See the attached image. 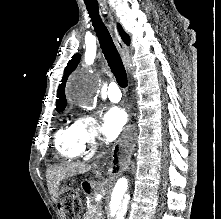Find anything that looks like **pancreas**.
<instances>
[{"instance_id": "cf45deb5", "label": "pancreas", "mask_w": 221, "mask_h": 219, "mask_svg": "<svg viewBox=\"0 0 221 219\" xmlns=\"http://www.w3.org/2000/svg\"><path fill=\"white\" fill-rule=\"evenodd\" d=\"M96 207L95 206H90L87 210L86 213L84 214V218L83 219H97L96 218Z\"/></svg>"}]
</instances>
